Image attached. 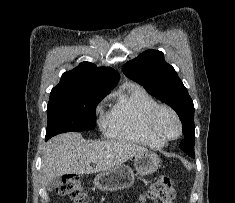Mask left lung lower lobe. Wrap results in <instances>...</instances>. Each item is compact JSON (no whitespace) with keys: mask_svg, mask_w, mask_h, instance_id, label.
<instances>
[{"mask_svg":"<svg viewBox=\"0 0 235 203\" xmlns=\"http://www.w3.org/2000/svg\"><path fill=\"white\" fill-rule=\"evenodd\" d=\"M183 134H184V139L186 138H188V137H190V135H191V133L190 132H187V131H183ZM186 146V144H182V147L186 150V151H188V149L185 147Z\"/></svg>","mask_w":235,"mask_h":203,"instance_id":"0a47b994","label":"left lung lower lobe"}]
</instances>
